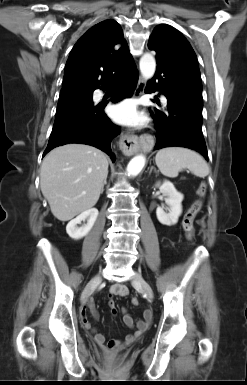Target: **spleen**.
<instances>
[{"mask_svg":"<svg viewBox=\"0 0 247 385\" xmlns=\"http://www.w3.org/2000/svg\"><path fill=\"white\" fill-rule=\"evenodd\" d=\"M155 162L160 172L170 178L177 177L183 169H189L200 178L209 174V166L204 158L188 148H163L157 152Z\"/></svg>","mask_w":247,"mask_h":385,"instance_id":"spleen-1","label":"spleen"}]
</instances>
